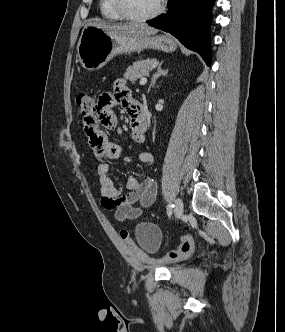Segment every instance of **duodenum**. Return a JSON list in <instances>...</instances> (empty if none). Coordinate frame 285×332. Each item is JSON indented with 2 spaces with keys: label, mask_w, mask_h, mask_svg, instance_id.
<instances>
[{
  "label": "duodenum",
  "mask_w": 285,
  "mask_h": 332,
  "mask_svg": "<svg viewBox=\"0 0 285 332\" xmlns=\"http://www.w3.org/2000/svg\"><path fill=\"white\" fill-rule=\"evenodd\" d=\"M140 110H141V114H142V117H143V120L147 123V120H148V112H147V109L144 105L140 104Z\"/></svg>",
  "instance_id": "1"
}]
</instances>
